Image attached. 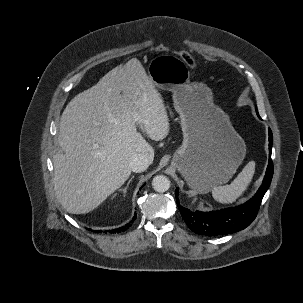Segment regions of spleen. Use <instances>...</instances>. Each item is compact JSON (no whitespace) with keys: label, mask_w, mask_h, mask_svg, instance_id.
I'll return each mask as SVG.
<instances>
[{"label":"spleen","mask_w":303,"mask_h":303,"mask_svg":"<svg viewBox=\"0 0 303 303\" xmlns=\"http://www.w3.org/2000/svg\"><path fill=\"white\" fill-rule=\"evenodd\" d=\"M255 172V162L250 161L230 185L217 186L212 189L213 198L222 203L230 204L239 198L250 184Z\"/></svg>","instance_id":"spleen-1"}]
</instances>
